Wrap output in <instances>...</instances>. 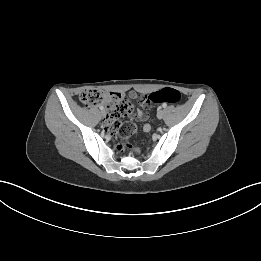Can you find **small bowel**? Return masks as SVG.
<instances>
[{
	"mask_svg": "<svg viewBox=\"0 0 261 261\" xmlns=\"http://www.w3.org/2000/svg\"><path fill=\"white\" fill-rule=\"evenodd\" d=\"M129 95L133 98V100L138 103V104H143L144 106H149L151 101H149V97L146 95V94H137L136 92L134 91H131L129 93ZM137 118L140 119V120H146L148 115L145 111H138L137 114H136ZM106 122H107V119H106ZM143 129L145 131H148L150 129V126L148 124H145Z\"/></svg>",
	"mask_w": 261,
	"mask_h": 261,
	"instance_id": "small-bowel-1",
	"label": "small bowel"
}]
</instances>
